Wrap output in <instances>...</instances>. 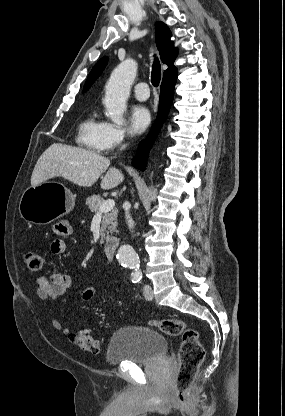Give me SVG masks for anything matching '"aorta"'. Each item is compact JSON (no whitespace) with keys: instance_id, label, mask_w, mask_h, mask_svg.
Returning a JSON list of instances; mask_svg holds the SVG:
<instances>
[{"instance_id":"1","label":"aorta","mask_w":285,"mask_h":416,"mask_svg":"<svg viewBox=\"0 0 285 416\" xmlns=\"http://www.w3.org/2000/svg\"><path fill=\"white\" fill-rule=\"evenodd\" d=\"M136 74L137 63L133 59H126L114 69L106 85L104 104L108 116L116 124H122L124 121L126 101ZM117 257L122 266L134 270L135 274H141L139 256L131 246H121Z\"/></svg>"}]
</instances>
